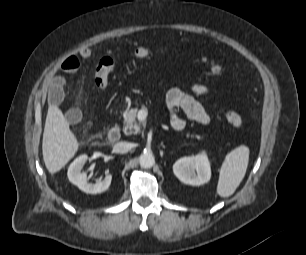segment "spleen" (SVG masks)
<instances>
[{
	"label": "spleen",
	"mask_w": 306,
	"mask_h": 255,
	"mask_svg": "<svg viewBox=\"0 0 306 255\" xmlns=\"http://www.w3.org/2000/svg\"><path fill=\"white\" fill-rule=\"evenodd\" d=\"M249 162V148L241 145L228 153L222 163L217 194L226 198L231 196L243 180Z\"/></svg>",
	"instance_id": "obj_1"
}]
</instances>
